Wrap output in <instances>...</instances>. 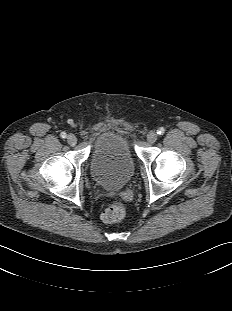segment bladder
I'll return each mask as SVG.
<instances>
[{"label": "bladder", "mask_w": 232, "mask_h": 311, "mask_svg": "<svg viewBox=\"0 0 232 311\" xmlns=\"http://www.w3.org/2000/svg\"><path fill=\"white\" fill-rule=\"evenodd\" d=\"M135 164L127 139L113 131L103 133L95 142L90 158L94 181L108 190H117L132 178Z\"/></svg>", "instance_id": "obj_1"}]
</instances>
